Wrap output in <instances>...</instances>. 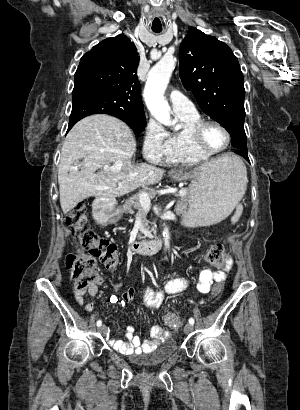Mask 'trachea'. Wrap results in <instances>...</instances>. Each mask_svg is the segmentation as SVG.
I'll list each match as a JSON object with an SVG mask.
<instances>
[{
    "mask_svg": "<svg viewBox=\"0 0 300 410\" xmlns=\"http://www.w3.org/2000/svg\"><path fill=\"white\" fill-rule=\"evenodd\" d=\"M153 32L155 33H160L162 31V29H152Z\"/></svg>",
    "mask_w": 300,
    "mask_h": 410,
    "instance_id": "trachea-1",
    "label": "trachea"
}]
</instances>
